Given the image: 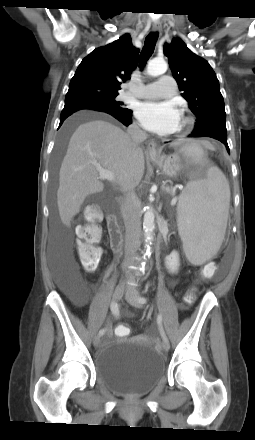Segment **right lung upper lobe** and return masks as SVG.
Instances as JSON below:
<instances>
[{
    "label": "right lung upper lobe",
    "instance_id": "1",
    "mask_svg": "<svg viewBox=\"0 0 255 440\" xmlns=\"http://www.w3.org/2000/svg\"><path fill=\"white\" fill-rule=\"evenodd\" d=\"M138 53L128 33L96 48L78 66L65 99H79L92 93L118 94L122 81L137 66Z\"/></svg>",
    "mask_w": 255,
    "mask_h": 440
}]
</instances>
